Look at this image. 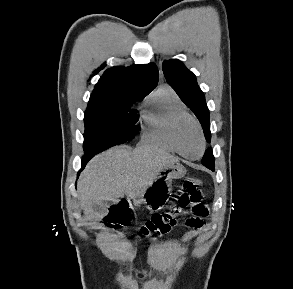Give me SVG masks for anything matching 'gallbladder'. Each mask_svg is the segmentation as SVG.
Instances as JSON below:
<instances>
[{"label":"gallbladder","mask_w":293,"mask_h":289,"mask_svg":"<svg viewBox=\"0 0 293 289\" xmlns=\"http://www.w3.org/2000/svg\"><path fill=\"white\" fill-rule=\"evenodd\" d=\"M93 210L99 216H104L106 214V209L101 204H94L93 205Z\"/></svg>","instance_id":"obj_1"}]
</instances>
